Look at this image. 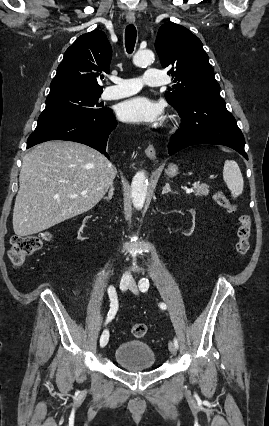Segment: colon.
<instances>
[{"label":"colon","mask_w":269,"mask_h":426,"mask_svg":"<svg viewBox=\"0 0 269 426\" xmlns=\"http://www.w3.org/2000/svg\"><path fill=\"white\" fill-rule=\"evenodd\" d=\"M215 201L230 213L237 211L236 206L226 197V195L218 191L214 194ZM251 218L248 214L243 213L239 216V226L237 229L236 252L239 256L247 254L250 248L251 236ZM51 234L41 232L32 235H16L11 239V248L8 251V258L14 267H21L26 259L40 251L43 246L50 240ZM135 337H143L147 332V327L143 323H136L131 328Z\"/></svg>","instance_id":"obj_1"}]
</instances>
